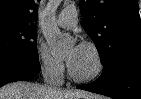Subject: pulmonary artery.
<instances>
[{
	"label": "pulmonary artery",
	"mask_w": 141,
	"mask_h": 99,
	"mask_svg": "<svg viewBox=\"0 0 141 99\" xmlns=\"http://www.w3.org/2000/svg\"><path fill=\"white\" fill-rule=\"evenodd\" d=\"M77 10L74 6L65 7L57 19V24L61 28L69 29L77 24Z\"/></svg>",
	"instance_id": "pulmonary-artery-1"
}]
</instances>
